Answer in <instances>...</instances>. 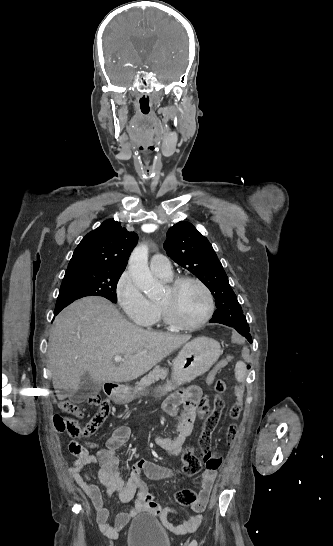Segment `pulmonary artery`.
Here are the masks:
<instances>
[{"label": "pulmonary artery", "instance_id": "1", "mask_svg": "<svg viewBox=\"0 0 333 546\" xmlns=\"http://www.w3.org/2000/svg\"><path fill=\"white\" fill-rule=\"evenodd\" d=\"M149 265L154 274L165 278L172 277V266L170 259L167 256L163 254L153 255Z\"/></svg>", "mask_w": 333, "mask_h": 546}]
</instances>
